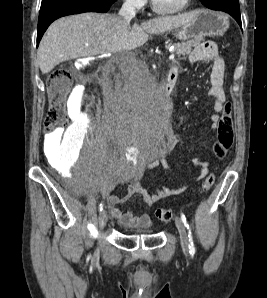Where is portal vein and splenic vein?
Masks as SVG:
<instances>
[{
    "instance_id": "portal-vein-and-splenic-vein-1",
    "label": "portal vein and splenic vein",
    "mask_w": 267,
    "mask_h": 298,
    "mask_svg": "<svg viewBox=\"0 0 267 298\" xmlns=\"http://www.w3.org/2000/svg\"><path fill=\"white\" fill-rule=\"evenodd\" d=\"M169 59H174V54H171V55L169 56Z\"/></svg>"
}]
</instances>
